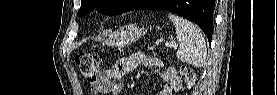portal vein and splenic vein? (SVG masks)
Listing matches in <instances>:
<instances>
[{
    "label": "portal vein and splenic vein",
    "instance_id": "portal-vein-and-splenic-vein-1",
    "mask_svg": "<svg viewBox=\"0 0 277 95\" xmlns=\"http://www.w3.org/2000/svg\"><path fill=\"white\" fill-rule=\"evenodd\" d=\"M165 46H166L167 48H172V47H175V44H174L173 42H166V43H165Z\"/></svg>",
    "mask_w": 277,
    "mask_h": 95
}]
</instances>
